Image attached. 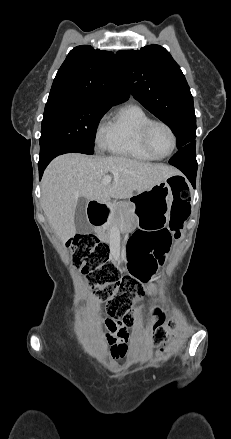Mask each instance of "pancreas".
Listing matches in <instances>:
<instances>
[{
    "label": "pancreas",
    "instance_id": "pancreas-1",
    "mask_svg": "<svg viewBox=\"0 0 231 439\" xmlns=\"http://www.w3.org/2000/svg\"><path fill=\"white\" fill-rule=\"evenodd\" d=\"M121 202H114L112 204L113 210H114V215L113 218L111 220V224H118L121 220Z\"/></svg>",
    "mask_w": 231,
    "mask_h": 439
}]
</instances>
